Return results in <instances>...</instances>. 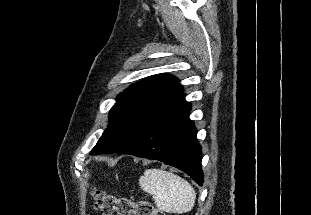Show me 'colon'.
Listing matches in <instances>:
<instances>
[{"label":"colon","instance_id":"obj_1","mask_svg":"<svg viewBox=\"0 0 311 215\" xmlns=\"http://www.w3.org/2000/svg\"><path fill=\"white\" fill-rule=\"evenodd\" d=\"M93 207L101 215H165L149 201H134L126 196L91 189Z\"/></svg>","mask_w":311,"mask_h":215}]
</instances>
